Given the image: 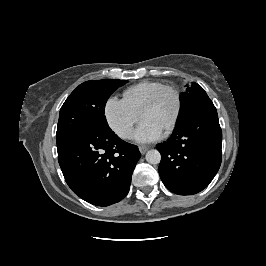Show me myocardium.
<instances>
[{"label": "myocardium", "instance_id": "obj_1", "mask_svg": "<svg viewBox=\"0 0 266 266\" xmlns=\"http://www.w3.org/2000/svg\"><path fill=\"white\" fill-rule=\"evenodd\" d=\"M166 90L172 91L174 93V95L176 97V101H177V107H176L175 115H174L172 121L164 129L165 132H169V131L173 130L175 128V126L177 125L179 118H180V115H181V111H182V97H181V93H180L179 89L176 86L163 85L160 88H158L157 90H155L152 93V95L148 98V100L144 103V105L140 111V117L143 118L145 111L148 110L151 106H153L155 104V102L158 100V98L160 97V95Z\"/></svg>", "mask_w": 266, "mask_h": 266}]
</instances>
